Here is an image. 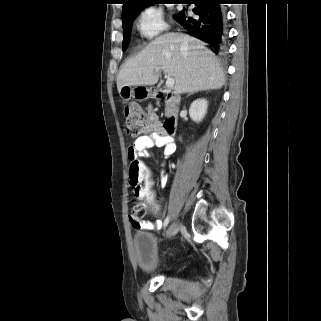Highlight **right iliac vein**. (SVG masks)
Returning a JSON list of instances; mask_svg holds the SVG:
<instances>
[{
  "mask_svg": "<svg viewBox=\"0 0 321 321\" xmlns=\"http://www.w3.org/2000/svg\"><path fill=\"white\" fill-rule=\"evenodd\" d=\"M178 230V223L176 221H174L170 226L169 228L167 229L166 231V237L167 238H171L172 236L175 235V233L177 232Z\"/></svg>",
  "mask_w": 321,
  "mask_h": 321,
  "instance_id": "1",
  "label": "right iliac vein"
}]
</instances>
